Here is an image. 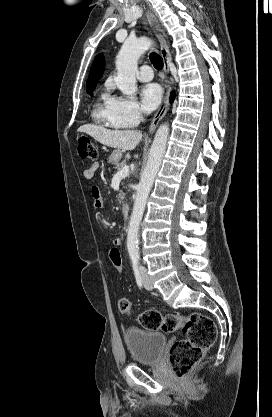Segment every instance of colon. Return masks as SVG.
I'll list each match as a JSON object with an SVG mask.
<instances>
[{
  "label": "colon",
  "instance_id": "1",
  "mask_svg": "<svg viewBox=\"0 0 272 417\" xmlns=\"http://www.w3.org/2000/svg\"><path fill=\"white\" fill-rule=\"evenodd\" d=\"M77 150L82 159L95 160L99 155L97 147L86 136L79 137ZM109 259L117 273L121 274L122 255L119 247H111ZM118 308L124 316L130 317L133 314L132 304L127 298L119 300ZM138 322L146 329L166 333L182 331L186 335L184 339L176 341L169 352L170 364L179 379L185 378L193 370L217 337L214 321L199 313L163 315L156 310H146L138 316Z\"/></svg>",
  "mask_w": 272,
  "mask_h": 417
}]
</instances>
